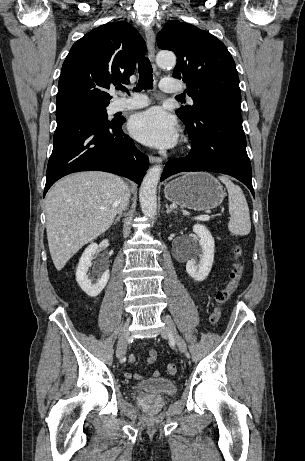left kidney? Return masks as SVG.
Segmentation results:
<instances>
[{"mask_svg": "<svg viewBox=\"0 0 305 461\" xmlns=\"http://www.w3.org/2000/svg\"><path fill=\"white\" fill-rule=\"evenodd\" d=\"M193 232L199 238V246L192 243L187 246L189 260L186 263V271L195 281L201 282L209 275L214 262L215 242L210 231L203 225L196 224ZM196 256L200 258L196 263Z\"/></svg>", "mask_w": 305, "mask_h": 461, "instance_id": "5707ae66", "label": "left kidney"}]
</instances>
